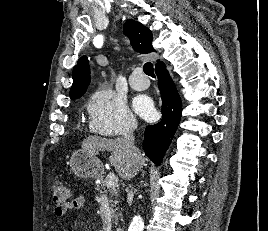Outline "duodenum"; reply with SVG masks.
Returning <instances> with one entry per match:
<instances>
[{
	"mask_svg": "<svg viewBox=\"0 0 268 231\" xmlns=\"http://www.w3.org/2000/svg\"><path fill=\"white\" fill-rule=\"evenodd\" d=\"M117 231H124L123 229H117Z\"/></svg>",
	"mask_w": 268,
	"mask_h": 231,
	"instance_id": "obj_1",
	"label": "duodenum"
}]
</instances>
